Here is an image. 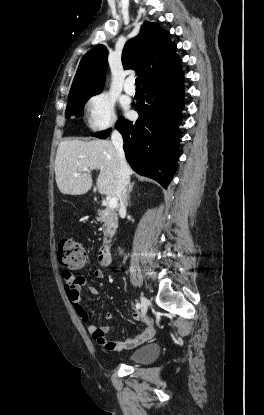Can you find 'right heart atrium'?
I'll list each match as a JSON object with an SVG mask.
<instances>
[{"mask_svg":"<svg viewBox=\"0 0 264 415\" xmlns=\"http://www.w3.org/2000/svg\"><path fill=\"white\" fill-rule=\"evenodd\" d=\"M87 121L93 130H104L116 122L114 100L106 93L93 95L87 102Z\"/></svg>","mask_w":264,"mask_h":415,"instance_id":"obj_1","label":"right heart atrium"}]
</instances>
